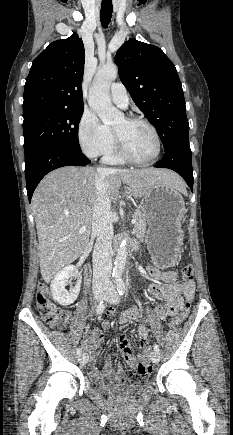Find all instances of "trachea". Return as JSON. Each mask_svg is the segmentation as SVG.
<instances>
[{"mask_svg":"<svg viewBox=\"0 0 233 435\" xmlns=\"http://www.w3.org/2000/svg\"><path fill=\"white\" fill-rule=\"evenodd\" d=\"M113 12L112 0H102L101 3V24L103 28H107Z\"/></svg>","mask_w":233,"mask_h":435,"instance_id":"3493384b","label":"trachea"}]
</instances>
